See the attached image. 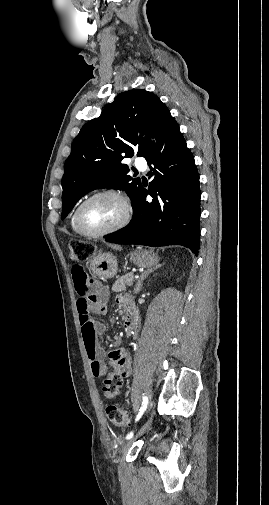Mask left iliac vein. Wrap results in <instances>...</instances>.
Returning <instances> with one entry per match:
<instances>
[{"mask_svg": "<svg viewBox=\"0 0 269 505\" xmlns=\"http://www.w3.org/2000/svg\"><path fill=\"white\" fill-rule=\"evenodd\" d=\"M152 423V417H150L145 423L144 425L141 427V429L139 430V432L137 433V435L135 437H132L131 439H129L128 441L124 442L120 449H119V452L120 453H126L129 448L131 447L132 443L136 440V438H138L139 436H141L151 425Z\"/></svg>", "mask_w": 269, "mask_h": 505, "instance_id": "1", "label": "left iliac vein"}]
</instances>
